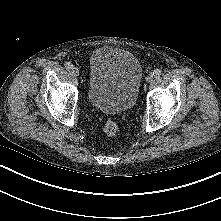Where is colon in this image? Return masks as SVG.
I'll list each match as a JSON object with an SVG mask.
<instances>
[{"label":"colon","mask_w":221,"mask_h":221,"mask_svg":"<svg viewBox=\"0 0 221 221\" xmlns=\"http://www.w3.org/2000/svg\"><path fill=\"white\" fill-rule=\"evenodd\" d=\"M103 131L106 136L113 137L118 132V125L114 120L108 119L103 126Z\"/></svg>","instance_id":"1"}]
</instances>
